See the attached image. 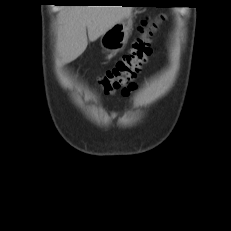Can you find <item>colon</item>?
I'll return each instance as SVG.
<instances>
[{"label":"colon","instance_id":"5ec220e1","mask_svg":"<svg viewBox=\"0 0 231 231\" xmlns=\"http://www.w3.org/2000/svg\"><path fill=\"white\" fill-rule=\"evenodd\" d=\"M158 20V17L149 15L140 21L138 37L131 49L95 81L96 88L108 95L132 83L152 52L151 36L158 27Z\"/></svg>","mask_w":231,"mask_h":231}]
</instances>
